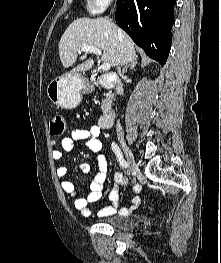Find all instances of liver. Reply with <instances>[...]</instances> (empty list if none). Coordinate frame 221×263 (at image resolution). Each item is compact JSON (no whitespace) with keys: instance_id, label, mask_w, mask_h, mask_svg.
<instances>
[{"instance_id":"liver-1","label":"liver","mask_w":221,"mask_h":263,"mask_svg":"<svg viewBox=\"0 0 221 263\" xmlns=\"http://www.w3.org/2000/svg\"><path fill=\"white\" fill-rule=\"evenodd\" d=\"M84 46L101 49L103 52L101 60L113 67L137 59L132 39L104 17L78 18L67 27L59 42V56L65 68L76 62L78 50ZM80 60L85 61L75 67L73 73L88 71L94 65V60L88 54L82 55Z\"/></svg>"}]
</instances>
